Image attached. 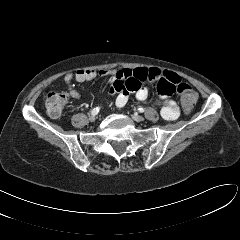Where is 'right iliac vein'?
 Segmentation results:
<instances>
[{"label":"right iliac vein","instance_id":"obj_1","mask_svg":"<svg viewBox=\"0 0 240 240\" xmlns=\"http://www.w3.org/2000/svg\"><path fill=\"white\" fill-rule=\"evenodd\" d=\"M95 119H96L95 115H93V114L89 115V120H90L91 122H94Z\"/></svg>","mask_w":240,"mask_h":240}]
</instances>
